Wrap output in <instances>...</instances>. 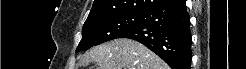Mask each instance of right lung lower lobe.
I'll list each match as a JSON object with an SVG mask.
<instances>
[{
  "instance_id": "obj_1",
  "label": "right lung lower lobe",
  "mask_w": 246,
  "mask_h": 69,
  "mask_svg": "<svg viewBox=\"0 0 246 69\" xmlns=\"http://www.w3.org/2000/svg\"><path fill=\"white\" fill-rule=\"evenodd\" d=\"M119 38L144 44L172 69L191 68V32L185 0H167L142 13L141 22Z\"/></svg>"
}]
</instances>
